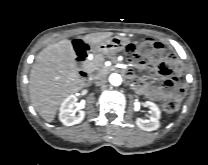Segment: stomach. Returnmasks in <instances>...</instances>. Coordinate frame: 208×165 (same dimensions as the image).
<instances>
[{
    "label": "stomach",
    "instance_id": "1",
    "mask_svg": "<svg viewBox=\"0 0 208 165\" xmlns=\"http://www.w3.org/2000/svg\"><path fill=\"white\" fill-rule=\"evenodd\" d=\"M127 44L128 39L126 37L117 35L96 44L94 49L104 54H115L125 48Z\"/></svg>",
    "mask_w": 208,
    "mask_h": 165
}]
</instances>
